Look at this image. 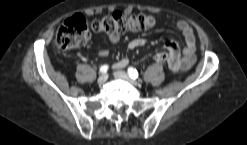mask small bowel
<instances>
[{"mask_svg":"<svg viewBox=\"0 0 247 145\" xmlns=\"http://www.w3.org/2000/svg\"><path fill=\"white\" fill-rule=\"evenodd\" d=\"M177 29L181 32L182 36L185 40V46L181 50L178 44L173 40H167L165 42V47L168 51L167 63L168 67L173 72L179 71H187L189 70L196 62V38L191 26L184 20H179L176 24ZM108 39L112 43H117L120 40V36L118 34H109ZM147 44V40L143 37H137L132 39L128 48L130 50H134L140 47H143ZM109 54L108 50L101 49L98 51V55L100 57H107ZM161 53H158L156 56ZM157 61V60H156ZM158 63H162L157 61ZM129 63L127 58H122L118 62L113 65V69L120 70L125 68Z\"/></svg>","mask_w":247,"mask_h":145,"instance_id":"1","label":"small bowel"}]
</instances>
